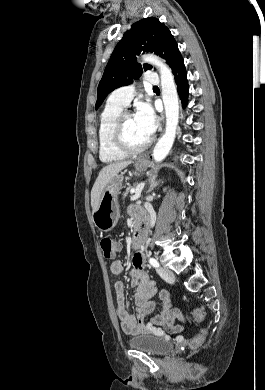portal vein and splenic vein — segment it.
<instances>
[{
  "label": "portal vein and splenic vein",
  "mask_w": 265,
  "mask_h": 390,
  "mask_svg": "<svg viewBox=\"0 0 265 390\" xmlns=\"http://www.w3.org/2000/svg\"><path fill=\"white\" fill-rule=\"evenodd\" d=\"M145 186V183H140L137 185L135 189L131 190V193H135L134 196L131 197V200H137L141 196V192Z\"/></svg>",
  "instance_id": "obj_1"
}]
</instances>
